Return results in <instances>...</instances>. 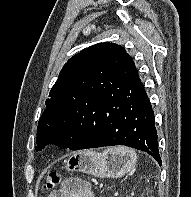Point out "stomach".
Listing matches in <instances>:
<instances>
[{
	"label": "stomach",
	"instance_id": "0dacf381",
	"mask_svg": "<svg viewBox=\"0 0 191 197\" xmlns=\"http://www.w3.org/2000/svg\"><path fill=\"white\" fill-rule=\"evenodd\" d=\"M135 162L128 155H123L110 148L102 153L83 150L74 153L66 161L69 171H79L103 178H119L128 173Z\"/></svg>",
	"mask_w": 191,
	"mask_h": 197
}]
</instances>
